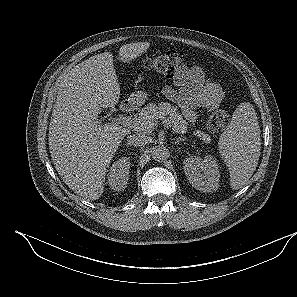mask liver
I'll use <instances>...</instances> for the list:
<instances>
[{
  "label": "liver",
  "mask_w": 297,
  "mask_h": 297,
  "mask_svg": "<svg viewBox=\"0 0 297 297\" xmlns=\"http://www.w3.org/2000/svg\"><path fill=\"white\" fill-rule=\"evenodd\" d=\"M149 47V42L123 45L120 59L130 62ZM119 98L110 52L84 60L61 80L49 125V150L61 179L84 199L96 200L102 195L107 168L130 132L96 119L102 108L114 107Z\"/></svg>",
  "instance_id": "liver-1"
}]
</instances>
